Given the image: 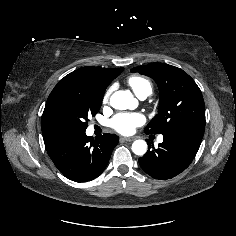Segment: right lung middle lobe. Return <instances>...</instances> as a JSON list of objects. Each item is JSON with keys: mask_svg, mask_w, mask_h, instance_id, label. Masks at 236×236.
<instances>
[{"mask_svg": "<svg viewBox=\"0 0 236 236\" xmlns=\"http://www.w3.org/2000/svg\"><path fill=\"white\" fill-rule=\"evenodd\" d=\"M104 91L60 80L50 93L41 119L42 132L53 137L85 133L88 116L101 107Z\"/></svg>", "mask_w": 236, "mask_h": 236, "instance_id": "right-lung-middle-lobe-1", "label": "right lung middle lobe"}]
</instances>
